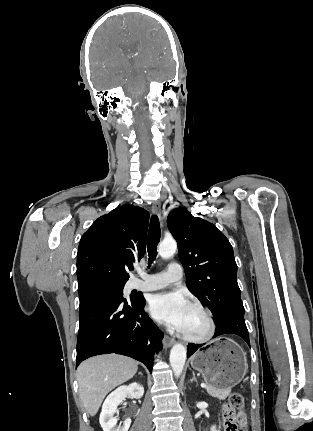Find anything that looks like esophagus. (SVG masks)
<instances>
[{
	"label": "esophagus",
	"instance_id": "esophagus-1",
	"mask_svg": "<svg viewBox=\"0 0 313 431\" xmlns=\"http://www.w3.org/2000/svg\"><path fill=\"white\" fill-rule=\"evenodd\" d=\"M152 212L154 214H157V215L160 214L161 204L158 201H156L152 204ZM163 343H164L165 347L169 348L175 343V340L173 338H170L169 336L165 335L164 339H163Z\"/></svg>",
	"mask_w": 313,
	"mask_h": 431
}]
</instances>
